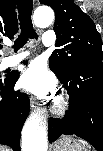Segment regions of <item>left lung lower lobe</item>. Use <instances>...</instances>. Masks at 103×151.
I'll return each mask as SVG.
<instances>
[{
	"label": "left lung lower lobe",
	"instance_id": "1",
	"mask_svg": "<svg viewBox=\"0 0 103 151\" xmlns=\"http://www.w3.org/2000/svg\"><path fill=\"white\" fill-rule=\"evenodd\" d=\"M57 77L69 94L70 104L62 119H49V142L62 134H75L103 151V58L90 57L69 76Z\"/></svg>",
	"mask_w": 103,
	"mask_h": 151
}]
</instances>
